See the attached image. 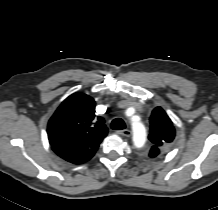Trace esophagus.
I'll return each mask as SVG.
<instances>
[{"label":"esophagus","mask_w":218,"mask_h":210,"mask_svg":"<svg viewBox=\"0 0 218 210\" xmlns=\"http://www.w3.org/2000/svg\"><path fill=\"white\" fill-rule=\"evenodd\" d=\"M119 135L129 137L131 135V131L129 129L119 130L117 131Z\"/></svg>","instance_id":"obj_1"}]
</instances>
